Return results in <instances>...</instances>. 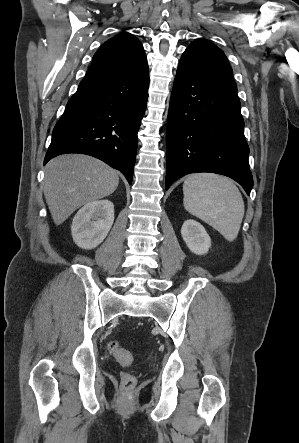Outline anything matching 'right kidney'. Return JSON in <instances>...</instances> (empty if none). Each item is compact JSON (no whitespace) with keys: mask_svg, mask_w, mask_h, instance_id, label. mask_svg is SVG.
I'll list each match as a JSON object with an SVG mask.
<instances>
[{"mask_svg":"<svg viewBox=\"0 0 299 443\" xmlns=\"http://www.w3.org/2000/svg\"><path fill=\"white\" fill-rule=\"evenodd\" d=\"M114 222V205L109 200H97L84 205L74 216L71 232L77 246L96 248L106 238Z\"/></svg>","mask_w":299,"mask_h":443,"instance_id":"obj_1","label":"right kidney"}]
</instances>
